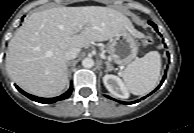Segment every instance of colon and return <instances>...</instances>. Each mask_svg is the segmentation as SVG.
I'll use <instances>...</instances> for the list:
<instances>
[{
	"label": "colon",
	"mask_w": 194,
	"mask_h": 133,
	"mask_svg": "<svg viewBox=\"0 0 194 133\" xmlns=\"http://www.w3.org/2000/svg\"><path fill=\"white\" fill-rule=\"evenodd\" d=\"M151 42H152L151 36H150V35H147V36L143 39L142 44H143V46H147V45H149Z\"/></svg>",
	"instance_id": "colon-1"
}]
</instances>
